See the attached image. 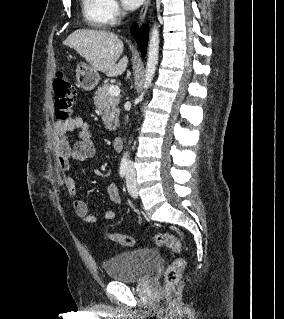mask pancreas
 Listing matches in <instances>:
<instances>
[{"instance_id":"obj_1","label":"pancreas","mask_w":284,"mask_h":319,"mask_svg":"<svg viewBox=\"0 0 284 319\" xmlns=\"http://www.w3.org/2000/svg\"><path fill=\"white\" fill-rule=\"evenodd\" d=\"M111 85L109 83L103 84L99 87L94 96V104L102 116V121L108 131L116 130L119 117V100L118 96H111L108 89Z\"/></svg>"}]
</instances>
